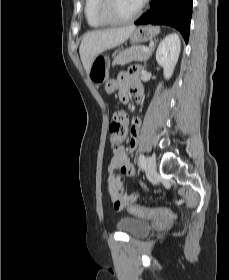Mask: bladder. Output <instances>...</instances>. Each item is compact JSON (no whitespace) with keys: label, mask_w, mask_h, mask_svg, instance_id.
<instances>
[{"label":"bladder","mask_w":229,"mask_h":280,"mask_svg":"<svg viewBox=\"0 0 229 280\" xmlns=\"http://www.w3.org/2000/svg\"><path fill=\"white\" fill-rule=\"evenodd\" d=\"M117 227L126 235L140 237L149 234L154 229L145 219L123 217L118 220Z\"/></svg>","instance_id":"obj_1"}]
</instances>
